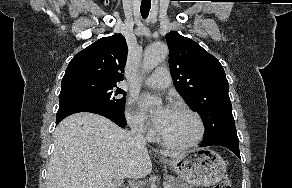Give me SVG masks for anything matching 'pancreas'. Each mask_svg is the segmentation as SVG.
<instances>
[{
	"instance_id": "pancreas-1",
	"label": "pancreas",
	"mask_w": 292,
	"mask_h": 188,
	"mask_svg": "<svg viewBox=\"0 0 292 188\" xmlns=\"http://www.w3.org/2000/svg\"><path fill=\"white\" fill-rule=\"evenodd\" d=\"M166 179H167L169 188H191V186L187 185L186 183H183L178 178L168 176L166 177Z\"/></svg>"
}]
</instances>
